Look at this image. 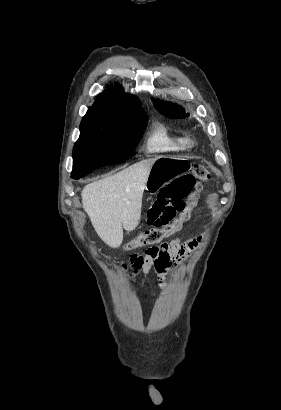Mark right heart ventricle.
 <instances>
[{
    "mask_svg": "<svg viewBox=\"0 0 281 410\" xmlns=\"http://www.w3.org/2000/svg\"><path fill=\"white\" fill-rule=\"evenodd\" d=\"M188 148L186 136L178 134L162 123L155 124L149 131L145 150L155 154H175Z\"/></svg>",
    "mask_w": 281,
    "mask_h": 410,
    "instance_id": "1",
    "label": "right heart ventricle"
}]
</instances>
